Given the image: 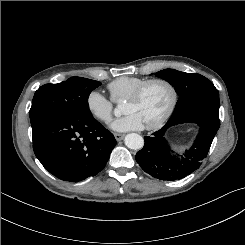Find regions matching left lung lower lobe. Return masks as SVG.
<instances>
[{"label":"left lung lower lobe","instance_id":"obj_1","mask_svg":"<svg viewBox=\"0 0 245 245\" xmlns=\"http://www.w3.org/2000/svg\"><path fill=\"white\" fill-rule=\"evenodd\" d=\"M182 123H196L200 131L189 150L182 155H172L164 139L171 126ZM220 126L219 107L213 105L193 106L170 118L166 125L144 138V147L135 159L148 174L161 180L175 181L186 177L201 165L207 156L214 136Z\"/></svg>","mask_w":245,"mask_h":245}]
</instances>
